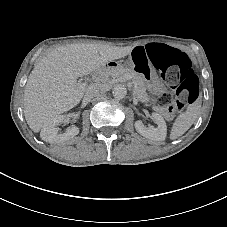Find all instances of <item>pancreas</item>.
Returning a JSON list of instances; mask_svg holds the SVG:
<instances>
[{
    "instance_id": "cf45deb5",
    "label": "pancreas",
    "mask_w": 227,
    "mask_h": 227,
    "mask_svg": "<svg viewBox=\"0 0 227 227\" xmlns=\"http://www.w3.org/2000/svg\"><path fill=\"white\" fill-rule=\"evenodd\" d=\"M129 80L134 81L136 92L139 93V98L147 100L145 83L141 75L127 67L117 65L101 72L96 79V83L109 85L114 81L124 82Z\"/></svg>"
}]
</instances>
